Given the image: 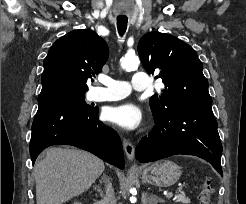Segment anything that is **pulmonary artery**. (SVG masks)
<instances>
[{
	"label": "pulmonary artery",
	"instance_id": "obj_1",
	"mask_svg": "<svg viewBox=\"0 0 246 204\" xmlns=\"http://www.w3.org/2000/svg\"><path fill=\"white\" fill-rule=\"evenodd\" d=\"M103 87H94L89 93L91 101H115L127 97L131 90L142 91L148 88L149 78L145 72L133 74L131 83L104 76L99 78Z\"/></svg>",
	"mask_w": 246,
	"mask_h": 204
}]
</instances>
